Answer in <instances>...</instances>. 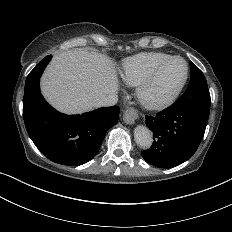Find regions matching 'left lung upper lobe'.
Segmentation results:
<instances>
[{"instance_id": "1", "label": "left lung upper lobe", "mask_w": 232, "mask_h": 232, "mask_svg": "<svg viewBox=\"0 0 232 232\" xmlns=\"http://www.w3.org/2000/svg\"><path fill=\"white\" fill-rule=\"evenodd\" d=\"M190 71L191 78L188 88L173 105L192 108L209 115L211 99L206 79L202 71L192 62H190Z\"/></svg>"}]
</instances>
